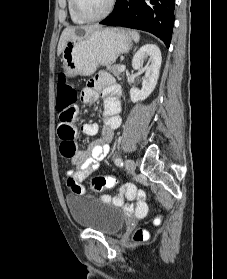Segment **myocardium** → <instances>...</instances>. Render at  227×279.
I'll return each mask as SVG.
<instances>
[{"instance_id": "f54148a6", "label": "myocardium", "mask_w": 227, "mask_h": 279, "mask_svg": "<svg viewBox=\"0 0 227 279\" xmlns=\"http://www.w3.org/2000/svg\"><path fill=\"white\" fill-rule=\"evenodd\" d=\"M115 2H116V0H109L108 6L105 9V11L94 17H88V16L84 15L79 10L77 0H72V6H73L74 13L76 14V16L78 18H80L81 20H83L85 22H94V21H99V20L106 18L112 12V10L115 6Z\"/></svg>"}]
</instances>
